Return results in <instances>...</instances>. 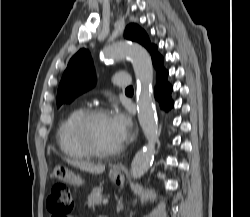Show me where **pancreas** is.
Here are the masks:
<instances>
[{"label":"pancreas","mask_w":250,"mask_h":217,"mask_svg":"<svg viewBox=\"0 0 250 217\" xmlns=\"http://www.w3.org/2000/svg\"><path fill=\"white\" fill-rule=\"evenodd\" d=\"M101 188H94L90 195L88 196V200L86 202L88 207L94 208L95 205H100L102 200Z\"/></svg>","instance_id":"pancreas-1"}]
</instances>
